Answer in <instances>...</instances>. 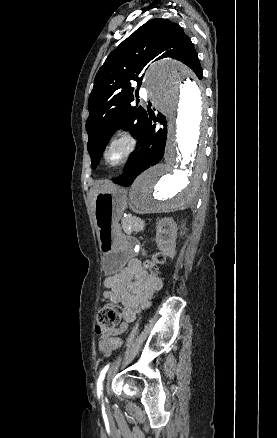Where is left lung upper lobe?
<instances>
[{
  "mask_svg": "<svg viewBox=\"0 0 277 438\" xmlns=\"http://www.w3.org/2000/svg\"><path fill=\"white\" fill-rule=\"evenodd\" d=\"M171 57L203 77L197 52L190 38L174 22L155 18L126 38L105 60L94 79L88 99L87 149L94 169L117 128L130 129L142 140L148 131L149 114L131 105L141 86L146 65L152 60ZM137 81V90L131 87Z\"/></svg>",
  "mask_w": 277,
  "mask_h": 438,
  "instance_id": "obj_1",
  "label": "left lung upper lobe"
}]
</instances>
